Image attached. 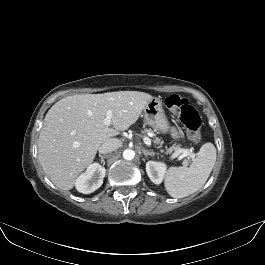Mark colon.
<instances>
[{
	"instance_id": "colon-1",
	"label": "colon",
	"mask_w": 265,
	"mask_h": 265,
	"mask_svg": "<svg viewBox=\"0 0 265 265\" xmlns=\"http://www.w3.org/2000/svg\"><path fill=\"white\" fill-rule=\"evenodd\" d=\"M165 105L177 115L191 141L199 143L201 141V119L191 103L186 98L174 94L166 98Z\"/></svg>"
}]
</instances>
